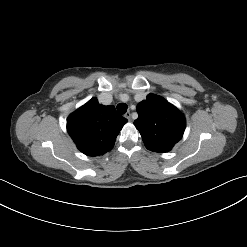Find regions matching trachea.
Masks as SVG:
<instances>
[{
    "mask_svg": "<svg viewBox=\"0 0 247 247\" xmlns=\"http://www.w3.org/2000/svg\"><path fill=\"white\" fill-rule=\"evenodd\" d=\"M127 105L125 103H120L117 105V111L120 113V114H124L126 113L127 111Z\"/></svg>",
    "mask_w": 247,
    "mask_h": 247,
    "instance_id": "3493384b",
    "label": "trachea"
}]
</instances>
